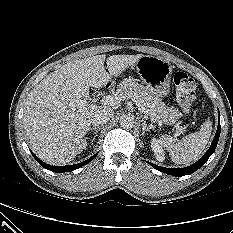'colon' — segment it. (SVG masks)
<instances>
[{
	"label": "colon",
	"instance_id": "obj_1",
	"mask_svg": "<svg viewBox=\"0 0 233 233\" xmlns=\"http://www.w3.org/2000/svg\"><path fill=\"white\" fill-rule=\"evenodd\" d=\"M174 84L179 106L185 113L190 112L195 102L194 80L187 73L178 71L174 74Z\"/></svg>",
	"mask_w": 233,
	"mask_h": 233
}]
</instances>
